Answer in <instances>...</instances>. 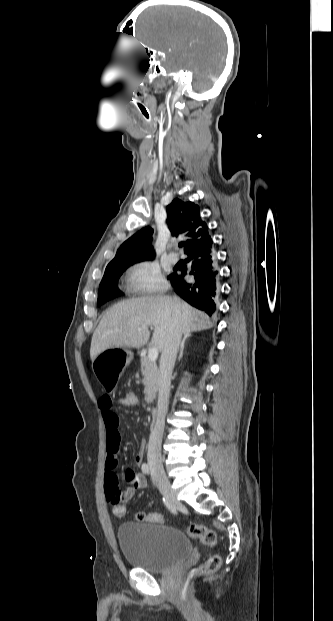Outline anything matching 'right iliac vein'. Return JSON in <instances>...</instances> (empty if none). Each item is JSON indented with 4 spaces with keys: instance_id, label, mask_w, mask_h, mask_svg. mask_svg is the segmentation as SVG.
Instances as JSON below:
<instances>
[{
    "instance_id": "1",
    "label": "right iliac vein",
    "mask_w": 333,
    "mask_h": 621,
    "mask_svg": "<svg viewBox=\"0 0 333 621\" xmlns=\"http://www.w3.org/2000/svg\"><path fill=\"white\" fill-rule=\"evenodd\" d=\"M152 474H153V477L155 478V480L157 481V484H158L159 488L165 494L166 498L170 502H172L174 504H178V502L176 500V494L173 491V489L171 488L170 481H169L168 477L166 476L164 470L161 467L152 466Z\"/></svg>"
}]
</instances>
